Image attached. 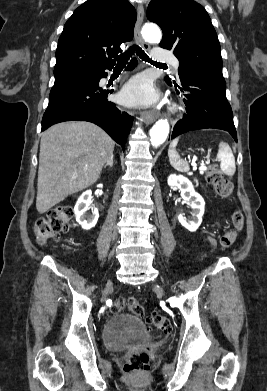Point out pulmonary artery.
Listing matches in <instances>:
<instances>
[{
  "instance_id": "obj_1",
  "label": "pulmonary artery",
  "mask_w": 267,
  "mask_h": 391,
  "mask_svg": "<svg viewBox=\"0 0 267 391\" xmlns=\"http://www.w3.org/2000/svg\"><path fill=\"white\" fill-rule=\"evenodd\" d=\"M152 55L153 59L157 62H169L175 69H178L179 67L178 59L173 54L164 49L155 48Z\"/></svg>"
}]
</instances>
